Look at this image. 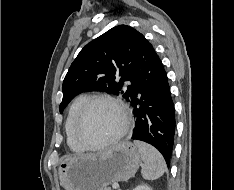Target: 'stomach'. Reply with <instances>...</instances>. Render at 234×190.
Masks as SVG:
<instances>
[{
  "instance_id": "0dacf381",
  "label": "stomach",
  "mask_w": 234,
  "mask_h": 190,
  "mask_svg": "<svg viewBox=\"0 0 234 190\" xmlns=\"http://www.w3.org/2000/svg\"><path fill=\"white\" fill-rule=\"evenodd\" d=\"M140 163L137 146L122 141L98 154L65 159L59 166V180L65 190H105L113 182L131 178Z\"/></svg>"
}]
</instances>
